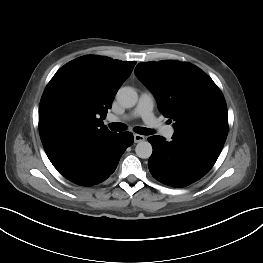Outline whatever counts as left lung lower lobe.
<instances>
[{"label": "left lung lower lobe", "instance_id": "0a47b994", "mask_svg": "<svg viewBox=\"0 0 263 263\" xmlns=\"http://www.w3.org/2000/svg\"><path fill=\"white\" fill-rule=\"evenodd\" d=\"M172 141L151 136L153 153L148 161L152 176L165 185L184 187L202 178L216 162L225 141L174 132Z\"/></svg>", "mask_w": 263, "mask_h": 263}]
</instances>
